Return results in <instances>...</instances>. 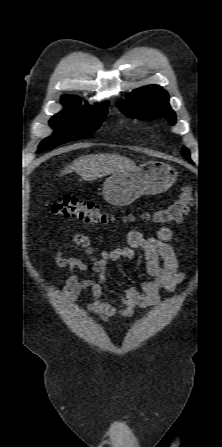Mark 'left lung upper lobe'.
Returning <instances> with one entry per match:
<instances>
[{
  "mask_svg": "<svg viewBox=\"0 0 222 447\" xmlns=\"http://www.w3.org/2000/svg\"><path fill=\"white\" fill-rule=\"evenodd\" d=\"M122 112L129 117L141 119L166 118L171 125L176 122L174 111L169 105L168 93L159 85H149L133 90L126 102L119 104ZM182 155L190 160L189 150L182 148Z\"/></svg>",
  "mask_w": 222,
  "mask_h": 447,
  "instance_id": "obj_1",
  "label": "left lung upper lobe"
}]
</instances>
